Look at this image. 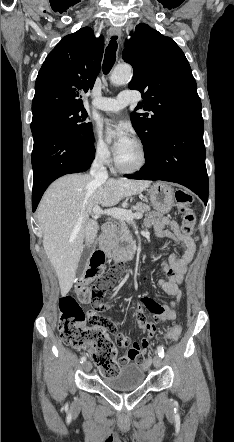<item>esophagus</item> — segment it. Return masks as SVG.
Here are the masks:
<instances>
[{"mask_svg":"<svg viewBox=\"0 0 234 442\" xmlns=\"http://www.w3.org/2000/svg\"><path fill=\"white\" fill-rule=\"evenodd\" d=\"M110 34L113 36H121V30L120 29H111Z\"/></svg>","mask_w":234,"mask_h":442,"instance_id":"1","label":"esophagus"}]
</instances>
